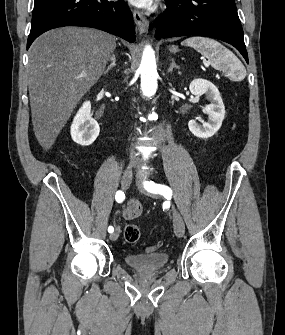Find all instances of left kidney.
Segmentation results:
<instances>
[{
    "mask_svg": "<svg viewBox=\"0 0 285 335\" xmlns=\"http://www.w3.org/2000/svg\"><path fill=\"white\" fill-rule=\"evenodd\" d=\"M189 90L194 96L207 94L212 100L211 104L204 108L205 114L208 116V122H203L202 126H199L196 120L188 122V128L194 136H197V138H211L221 128L225 116V106L222 102L221 94L214 84H211L208 80H202V78L193 80Z\"/></svg>",
    "mask_w": 285,
    "mask_h": 335,
    "instance_id": "left-kidney-1",
    "label": "left kidney"
}]
</instances>
